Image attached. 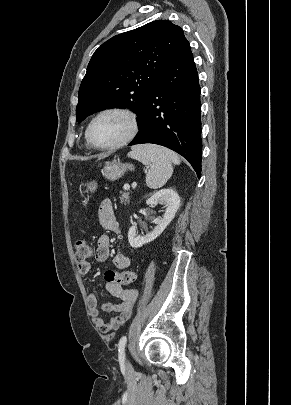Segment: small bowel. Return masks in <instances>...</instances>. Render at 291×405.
Segmentation results:
<instances>
[{
  "mask_svg": "<svg viewBox=\"0 0 291 405\" xmlns=\"http://www.w3.org/2000/svg\"><path fill=\"white\" fill-rule=\"evenodd\" d=\"M99 220L103 228L120 233V227L116 220L112 202L109 199L102 201L98 211ZM110 256V238L108 235H101L97 240V248L95 259L98 262L106 261ZM114 265L121 270L127 269L130 266V259L123 253H117L113 258ZM91 270L89 262L78 265V271L82 275H86ZM107 291L117 298L119 303H104L99 305L97 296L94 293L88 295V303L90 307V315L95 326L102 332L108 333L117 330L125 324L132 314L134 303L138 297L137 289H125L122 285L106 281ZM116 312L117 316L109 321H105L101 312Z\"/></svg>",
  "mask_w": 291,
  "mask_h": 405,
  "instance_id": "c3829d8e",
  "label": "small bowel"
}]
</instances>
